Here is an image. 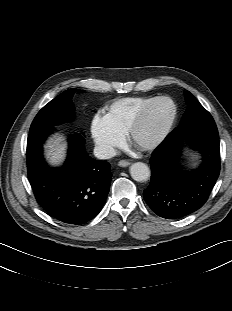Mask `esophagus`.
Returning a JSON list of instances; mask_svg holds the SVG:
<instances>
[{
	"label": "esophagus",
	"mask_w": 232,
	"mask_h": 311,
	"mask_svg": "<svg viewBox=\"0 0 232 311\" xmlns=\"http://www.w3.org/2000/svg\"><path fill=\"white\" fill-rule=\"evenodd\" d=\"M118 165L120 167H126V166L130 165V162L125 161V160H121V161L118 162Z\"/></svg>",
	"instance_id": "esophagus-1"
}]
</instances>
